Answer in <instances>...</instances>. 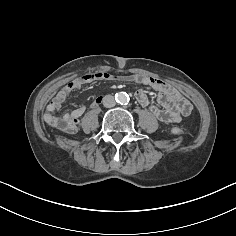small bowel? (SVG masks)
Instances as JSON below:
<instances>
[{"label": "small bowel", "instance_id": "c3829d8e", "mask_svg": "<svg viewBox=\"0 0 236 236\" xmlns=\"http://www.w3.org/2000/svg\"><path fill=\"white\" fill-rule=\"evenodd\" d=\"M98 80H125L144 85L143 88L136 91L135 98L141 106L149 108L156 119L162 123H178L183 116L188 115L192 110L191 103L183 98L174 87L163 80L138 74L122 77L108 73H92L70 80L55 94L47 105L44 114L45 123L59 132L75 133L86 106L82 105L71 112H65L61 115H56V112L73 91ZM151 89L160 92L158 100L162 108L150 105L148 94ZM101 103L102 97L98 96L94 99L92 105L96 107Z\"/></svg>", "mask_w": 236, "mask_h": 236}]
</instances>
